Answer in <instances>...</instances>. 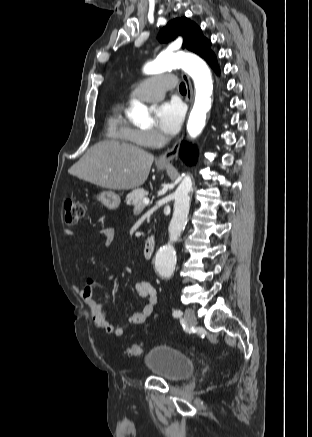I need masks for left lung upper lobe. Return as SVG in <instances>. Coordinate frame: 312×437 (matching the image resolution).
<instances>
[{"label":"left lung upper lobe","mask_w":312,"mask_h":437,"mask_svg":"<svg viewBox=\"0 0 312 437\" xmlns=\"http://www.w3.org/2000/svg\"><path fill=\"white\" fill-rule=\"evenodd\" d=\"M178 35L184 38L182 48L197 53L205 60L213 55L210 41L202 35L201 29L195 23L185 17L172 20L160 31L158 37L161 42H168Z\"/></svg>","instance_id":"obj_1"}]
</instances>
